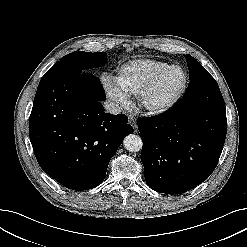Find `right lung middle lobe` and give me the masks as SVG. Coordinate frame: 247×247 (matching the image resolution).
Wrapping results in <instances>:
<instances>
[{
	"label": "right lung middle lobe",
	"instance_id": "obj_1",
	"mask_svg": "<svg viewBox=\"0 0 247 247\" xmlns=\"http://www.w3.org/2000/svg\"><path fill=\"white\" fill-rule=\"evenodd\" d=\"M105 62V52L89 53L84 51H75L56 62L43 77L52 76L56 73L70 70L86 72L91 68L102 66Z\"/></svg>",
	"mask_w": 247,
	"mask_h": 247
}]
</instances>
